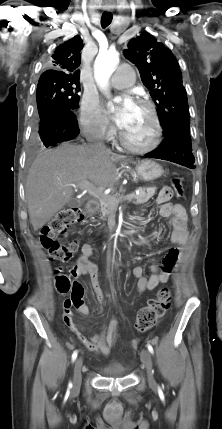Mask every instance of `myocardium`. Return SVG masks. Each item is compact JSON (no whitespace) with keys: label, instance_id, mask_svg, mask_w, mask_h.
<instances>
[{"label":"myocardium","instance_id":"1","mask_svg":"<svg viewBox=\"0 0 222 429\" xmlns=\"http://www.w3.org/2000/svg\"><path fill=\"white\" fill-rule=\"evenodd\" d=\"M137 104L144 106L148 110L149 115L151 117L153 126V134L151 141L146 145H136L128 139L123 130L120 132L119 137L123 146L128 150L135 153H148L155 150L159 146L163 132L162 125L155 105L150 100L140 98L137 100Z\"/></svg>","mask_w":222,"mask_h":429}]
</instances>
